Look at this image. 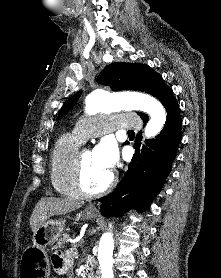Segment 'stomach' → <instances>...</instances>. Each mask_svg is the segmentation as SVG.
Wrapping results in <instances>:
<instances>
[{
	"label": "stomach",
	"mask_w": 221,
	"mask_h": 278,
	"mask_svg": "<svg viewBox=\"0 0 221 278\" xmlns=\"http://www.w3.org/2000/svg\"><path fill=\"white\" fill-rule=\"evenodd\" d=\"M97 211L86 208L77 215L78 219H93ZM65 222L61 220L45 221L33 234V244L22 254L19 270L20 278H51V267L47 264L44 249L54 244L63 234Z\"/></svg>",
	"instance_id": "1"
}]
</instances>
